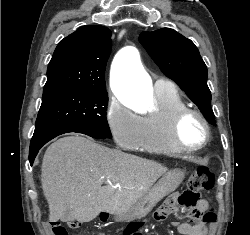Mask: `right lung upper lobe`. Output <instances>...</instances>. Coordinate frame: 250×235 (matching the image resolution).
Returning a JSON list of instances; mask_svg holds the SVG:
<instances>
[{
	"instance_id": "1",
	"label": "right lung upper lobe",
	"mask_w": 250,
	"mask_h": 235,
	"mask_svg": "<svg viewBox=\"0 0 250 235\" xmlns=\"http://www.w3.org/2000/svg\"><path fill=\"white\" fill-rule=\"evenodd\" d=\"M110 37L107 27L86 25L62 39L48 65L43 97L70 90L106 89Z\"/></svg>"
}]
</instances>
